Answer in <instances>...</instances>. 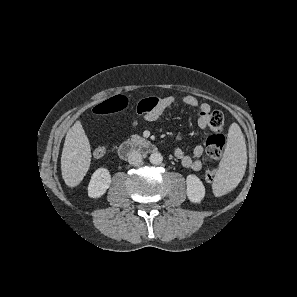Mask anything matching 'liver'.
<instances>
[{"label":"liver","instance_id":"6515ba94","mask_svg":"<svg viewBox=\"0 0 297 297\" xmlns=\"http://www.w3.org/2000/svg\"><path fill=\"white\" fill-rule=\"evenodd\" d=\"M91 161V147L80 121L68 130L61 155L62 177L66 185L75 187L86 175Z\"/></svg>","mask_w":297,"mask_h":297}]
</instances>
